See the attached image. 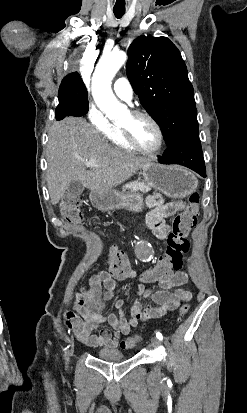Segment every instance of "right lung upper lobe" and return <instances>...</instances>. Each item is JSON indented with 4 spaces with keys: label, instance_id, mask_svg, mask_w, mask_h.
I'll return each instance as SVG.
<instances>
[{
    "label": "right lung upper lobe",
    "instance_id": "right-lung-upper-lobe-1",
    "mask_svg": "<svg viewBox=\"0 0 247 413\" xmlns=\"http://www.w3.org/2000/svg\"><path fill=\"white\" fill-rule=\"evenodd\" d=\"M68 80H82V79L80 78V75L78 74V72H74V73L68 74L66 77H64L62 81H68Z\"/></svg>",
    "mask_w": 247,
    "mask_h": 413
}]
</instances>
